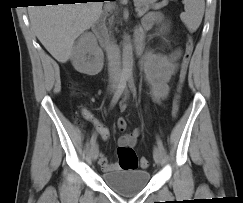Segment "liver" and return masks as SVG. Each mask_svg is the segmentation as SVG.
<instances>
[{"label":"liver","instance_id":"1","mask_svg":"<svg viewBox=\"0 0 243 203\" xmlns=\"http://www.w3.org/2000/svg\"><path fill=\"white\" fill-rule=\"evenodd\" d=\"M103 2L31 6V25L46 50L59 62L73 54L75 39L101 16Z\"/></svg>","mask_w":243,"mask_h":203}]
</instances>
